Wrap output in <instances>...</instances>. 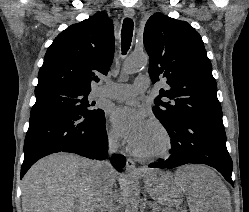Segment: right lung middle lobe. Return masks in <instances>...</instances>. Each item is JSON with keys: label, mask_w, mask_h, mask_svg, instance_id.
Wrapping results in <instances>:
<instances>
[{"label": "right lung middle lobe", "mask_w": 249, "mask_h": 212, "mask_svg": "<svg viewBox=\"0 0 249 212\" xmlns=\"http://www.w3.org/2000/svg\"><path fill=\"white\" fill-rule=\"evenodd\" d=\"M89 92L54 91L36 95L31 114L38 112H68L85 118L99 117L103 110L94 108L95 102L88 100Z\"/></svg>", "instance_id": "obj_1"}]
</instances>
